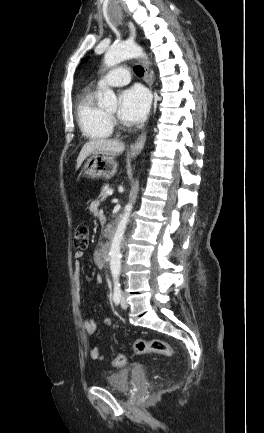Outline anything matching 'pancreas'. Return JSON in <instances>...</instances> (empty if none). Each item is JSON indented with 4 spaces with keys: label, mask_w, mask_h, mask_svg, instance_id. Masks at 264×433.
I'll use <instances>...</instances> for the list:
<instances>
[{
    "label": "pancreas",
    "mask_w": 264,
    "mask_h": 433,
    "mask_svg": "<svg viewBox=\"0 0 264 433\" xmlns=\"http://www.w3.org/2000/svg\"><path fill=\"white\" fill-rule=\"evenodd\" d=\"M109 190V184H105L102 189H101V193L99 195V198L101 201H105L108 197L107 191Z\"/></svg>",
    "instance_id": "pancreas-1"
}]
</instances>
